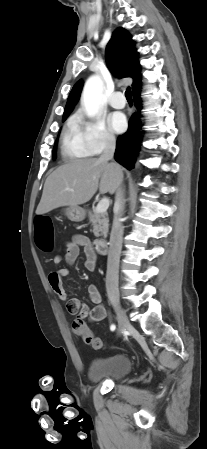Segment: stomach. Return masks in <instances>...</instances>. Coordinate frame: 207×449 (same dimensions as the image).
Listing matches in <instances>:
<instances>
[{
  "mask_svg": "<svg viewBox=\"0 0 207 449\" xmlns=\"http://www.w3.org/2000/svg\"><path fill=\"white\" fill-rule=\"evenodd\" d=\"M61 212L73 222H81L86 216V210L80 206H68L63 208Z\"/></svg>",
  "mask_w": 207,
  "mask_h": 449,
  "instance_id": "stomach-1",
  "label": "stomach"
}]
</instances>
